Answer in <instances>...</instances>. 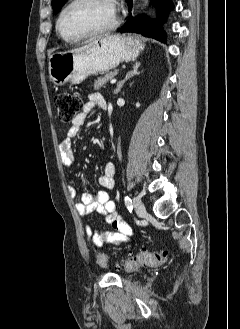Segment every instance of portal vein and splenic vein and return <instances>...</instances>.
<instances>
[{
  "instance_id": "18ae733b",
  "label": "portal vein and splenic vein",
  "mask_w": 240,
  "mask_h": 329,
  "mask_svg": "<svg viewBox=\"0 0 240 329\" xmlns=\"http://www.w3.org/2000/svg\"><path fill=\"white\" fill-rule=\"evenodd\" d=\"M116 81H117L116 79H112L110 83L114 84V83H116Z\"/></svg>"
}]
</instances>
